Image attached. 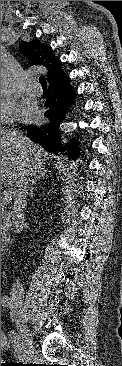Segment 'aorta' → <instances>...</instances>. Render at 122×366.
<instances>
[{
  "label": "aorta",
  "mask_w": 122,
  "mask_h": 366,
  "mask_svg": "<svg viewBox=\"0 0 122 366\" xmlns=\"http://www.w3.org/2000/svg\"><path fill=\"white\" fill-rule=\"evenodd\" d=\"M9 87L8 77L4 69H1V94L4 93Z\"/></svg>",
  "instance_id": "762f6f07"
}]
</instances>
